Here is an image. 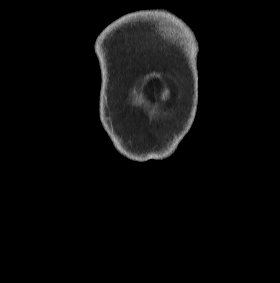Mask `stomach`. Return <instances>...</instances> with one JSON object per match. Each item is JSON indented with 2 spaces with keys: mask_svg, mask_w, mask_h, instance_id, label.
<instances>
[{
  "mask_svg": "<svg viewBox=\"0 0 280 283\" xmlns=\"http://www.w3.org/2000/svg\"><path fill=\"white\" fill-rule=\"evenodd\" d=\"M169 96V92L166 90L164 93H163V95H162V99H165V98H167Z\"/></svg>",
  "mask_w": 280,
  "mask_h": 283,
  "instance_id": "0dacf381",
  "label": "stomach"
}]
</instances>
